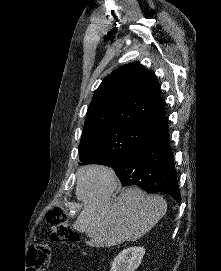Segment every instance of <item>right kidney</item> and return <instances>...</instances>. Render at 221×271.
Returning <instances> with one entry per match:
<instances>
[{
	"mask_svg": "<svg viewBox=\"0 0 221 271\" xmlns=\"http://www.w3.org/2000/svg\"><path fill=\"white\" fill-rule=\"evenodd\" d=\"M144 253L145 247L142 245H133V247L122 249L115 255L110 271H135L139 267Z\"/></svg>",
	"mask_w": 221,
	"mask_h": 271,
	"instance_id": "ca27d5eb",
	"label": "right kidney"
}]
</instances>
